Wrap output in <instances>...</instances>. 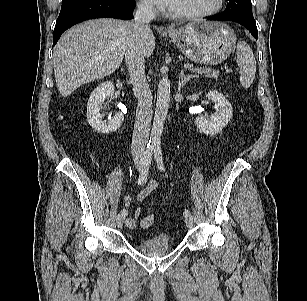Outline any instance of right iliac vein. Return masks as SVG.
Listing matches in <instances>:
<instances>
[{
	"mask_svg": "<svg viewBox=\"0 0 307 301\" xmlns=\"http://www.w3.org/2000/svg\"><path fill=\"white\" fill-rule=\"evenodd\" d=\"M135 165L137 167L138 170H142L143 168V158L138 156L135 158ZM124 221H125V217L122 216L121 214L117 215L116 217V223H117V226L119 228H122L123 224H124Z\"/></svg>",
	"mask_w": 307,
	"mask_h": 301,
	"instance_id": "1",
	"label": "right iliac vein"
}]
</instances>
